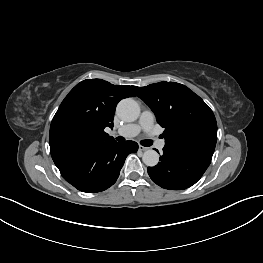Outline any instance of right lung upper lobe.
<instances>
[{
    "instance_id": "1",
    "label": "right lung upper lobe",
    "mask_w": 263,
    "mask_h": 263,
    "mask_svg": "<svg viewBox=\"0 0 263 263\" xmlns=\"http://www.w3.org/2000/svg\"><path fill=\"white\" fill-rule=\"evenodd\" d=\"M133 86H115L100 79L78 83L53 117L49 143L53 161L114 141L104 129L113 128L118 102L136 96Z\"/></svg>"
}]
</instances>
